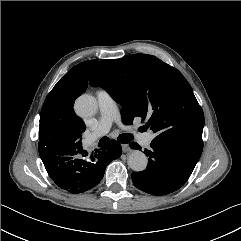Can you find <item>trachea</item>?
I'll return each instance as SVG.
<instances>
[{"label":"trachea","mask_w":241,"mask_h":241,"mask_svg":"<svg viewBox=\"0 0 241 241\" xmlns=\"http://www.w3.org/2000/svg\"><path fill=\"white\" fill-rule=\"evenodd\" d=\"M132 139V135L124 133L118 136V141L122 144H127L131 141ZM110 142V139L108 137H103L101 138L100 142H99V146H105Z\"/></svg>","instance_id":"obj_1"}]
</instances>
